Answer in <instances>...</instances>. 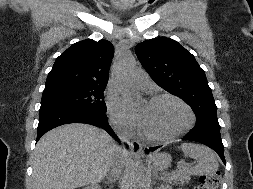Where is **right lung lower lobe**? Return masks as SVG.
<instances>
[{"instance_id":"obj_1","label":"right lung lower lobe","mask_w":253,"mask_h":189,"mask_svg":"<svg viewBox=\"0 0 253 189\" xmlns=\"http://www.w3.org/2000/svg\"><path fill=\"white\" fill-rule=\"evenodd\" d=\"M68 123H87L94 126H100L112 137L119 141L118 137L109 126L105 114L76 110L71 108L49 107L40 109L38 134L36 142L47 131Z\"/></svg>"}]
</instances>
